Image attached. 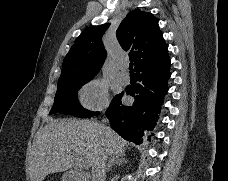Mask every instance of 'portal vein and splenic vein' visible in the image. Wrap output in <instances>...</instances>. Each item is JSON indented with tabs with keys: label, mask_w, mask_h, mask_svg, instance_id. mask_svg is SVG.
<instances>
[{
	"label": "portal vein and splenic vein",
	"mask_w": 228,
	"mask_h": 181,
	"mask_svg": "<svg viewBox=\"0 0 228 181\" xmlns=\"http://www.w3.org/2000/svg\"><path fill=\"white\" fill-rule=\"evenodd\" d=\"M75 163L77 167H80V169H83V167H86L85 161H83L82 157H77Z\"/></svg>",
	"instance_id": "portal-vein-and-splenic-vein-1"
}]
</instances>
